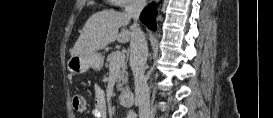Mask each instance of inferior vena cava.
Instances as JSON below:
<instances>
[{
	"mask_svg": "<svg viewBox=\"0 0 273 118\" xmlns=\"http://www.w3.org/2000/svg\"><path fill=\"white\" fill-rule=\"evenodd\" d=\"M144 6V0H133V2L126 7V13L129 17L134 19V24L130 28V66L133 71L135 82V102L139 107L140 117L149 118L150 93L147 78L145 76L148 47L145 35L137 24L139 15Z\"/></svg>",
	"mask_w": 273,
	"mask_h": 118,
	"instance_id": "obj_1",
	"label": "inferior vena cava"
}]
</instances>
